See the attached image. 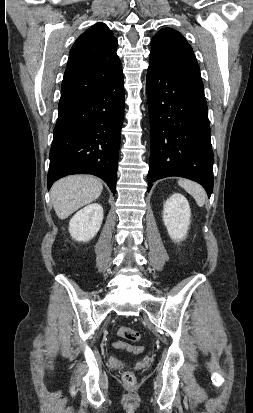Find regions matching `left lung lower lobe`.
<instances>
[{
	"mask_svg": "<svg viewBox=\"0 0 253 413\" xmlns=\"http://www.w3.org/2000/svg\"><path fill=\"white\" fill-rule=\"evenodd\" d=\"M146 87L151 128L148 192L154 181L179 176L200 183L210 197L214 155L204 89L153 57Z\"/></svg>",
	"mask_w": 253,
	"mask_h": 413,
	"instance_id": "left-lung-lower-lobe-1",
	"label": "left lung lower lobe"
}]
</instances>
